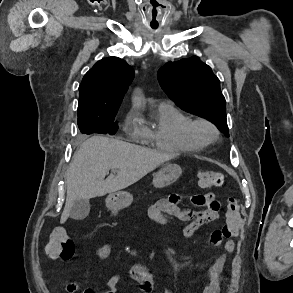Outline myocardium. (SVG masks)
<instances>
[{
  "label": "myocardium",
  "instance_id": "1",
  "mask_svg": "<svg viewBox=\"0 0 293 293\" xmlns=\"http://www.w3.org/2000/svg\"><path fill=\"white\" fill-rule=\"evenodd\" d=\"M202 129H205L204 133L201 131ZM187 132L190 140L199 147H204L219 137V131L216 125L205 118L191 119L187 127Z\"/></svg>",
  "mask_w": 293,
  "mask_h": 293
}]
</instances>
